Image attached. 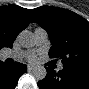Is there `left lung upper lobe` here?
I'll list each match as a JSON object with an SVG mask.
<instances>
[{
	"label": "left lung upper lobe",
	"instance_id": "left-lung-upper-lobe-1",
	"mask_svg": "<svg viewBox=\"0 0 89 89\" xmlns=\"http://www.w3.org/2000/svg\"><path fill=\"white\" fill-rule=\"evenodd\" d=\"M50 37V58L61 59L63 68L89 70V22L63 8L41 6L31 10Z\"/></svg>",
	"mask_w": 89,
	"mask_h": 89
}]
</instances>
